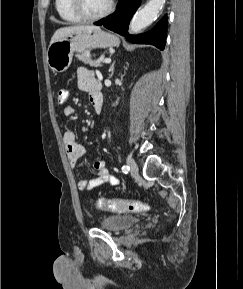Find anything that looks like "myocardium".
I'll return each mask as SVG.
<instances>
[{
  "label": "myocardium",
  "instance_id": "1",
  "mask_svg": "<svg viewBox=\"0 0 243 289\" xmlns=\"http://www.w3.org/2000/svg\"><path fill=\"white\" fill-rule=\"evenodd\" d=\"M71 7L76 15H78L82 20H98L108 16L114 9V0H109L107 8L98 14H89L85 11L83 7L82 0H71Z\"/></svg>",
  "mask_w": 243,
  "mask_h": 289
}]
</instances>
